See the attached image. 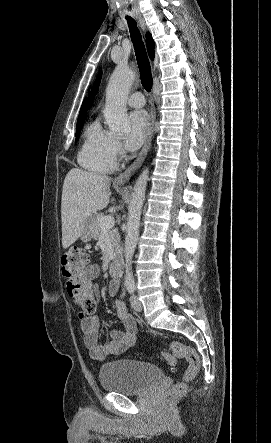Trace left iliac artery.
<instances>
[{
	"mask_svg": "<svg viewBox=\"0 0 271 443\" xmlns=\"http://www.w3.org/2000/svg\"><path fill=\"white\" fill-rule=\"evenodd\" d=\"M127 290L130 294H132L135 291V285L134 284H128Z\"/></svg>",
	"mask_w": 271,
	"mask_h": 443,
	"instance_id": "1",
	"label": "left iliac artery"
}]
</instances>
